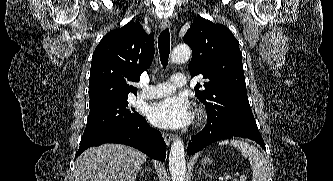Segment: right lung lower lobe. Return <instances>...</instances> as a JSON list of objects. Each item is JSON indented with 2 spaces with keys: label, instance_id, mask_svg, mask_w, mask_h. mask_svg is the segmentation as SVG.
I'll list each match as a JSON object with an SVG mask.
<instances>
[{
  "label": "right lung lower lobe",
  "instance_id": "1",
  "mask_svg": "<svg viewBox=\"0 0 333 181\" xmlns=\"http://www.w3.org/2000/svg\"><path fill=\"white\" fill-rule=\"evenodd\" d=\"M105 143H119L132 146L149 157L164 161L166 144L161 133L150 127L143 116L126 125L113 127L99 132L84 134L76 157L92 146Z\"/></svg>",
  "mask_w": 333,
  "mask_h": 181
}]
</instances>
